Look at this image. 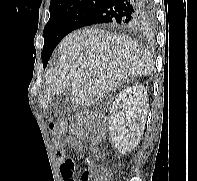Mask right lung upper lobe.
<instances>
[{
  "label": "right lung upper lobe",
  "instance_id": "1",
  "mask_svg": "<svg viewBox=\"0 0 197 181\" xmlns=\"http://www.w3.org/2000/svg\"><path fill=\"white\" fill-rule=\"evenodd\" d=\"M106 0H52L50 4V13H55L70 8H74L84 4H102ZM139 29V28H131Z\"/></svg>",
  "mask_w": 197,
  "mask_h": 181
}]
</instances>
